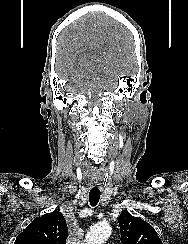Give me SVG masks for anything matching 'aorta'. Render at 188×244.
Wrapping results in <instances>:
<instances>
[{
    "mask_svg": "<svg viewBox=\"0 0 188 244\" xmlns=\"http://www.w3.org/2000/svg\"><path fill=\"white\" fill-rule=\"evenodd\" d=\"M111 227L107 223H98L93 225L85 237L84 244H103L110 236Z\"/></svg>",
    "mask_w": 188,
    "mask_h": 244,
    "instance_id": "aorta-1",
    "label": "aorta"
}]
</instances>
